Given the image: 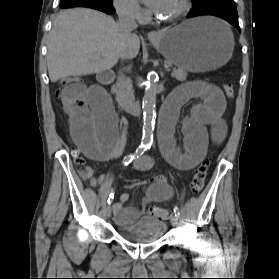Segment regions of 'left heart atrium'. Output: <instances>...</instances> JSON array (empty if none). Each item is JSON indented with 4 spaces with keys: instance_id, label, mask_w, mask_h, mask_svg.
<instances>
[{
    "instance_id": "1",
    "label": "left heart atrium",
    "mask_w": 279,
    "mask_h": 279,
    "mask_svg": "<svg viewBox=\"0 0 279 279\" xmlns=\"http://www.w3.org/2000/svg\"><path fill=\"white\" fill-rule=\"evenodd\" d=\"M163 0H144L146 5L153 11L157 12Z\"/></svg>"
}]
</instances>
